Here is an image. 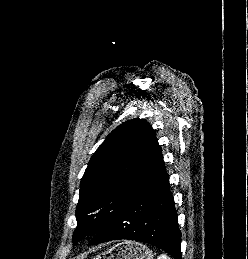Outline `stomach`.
<instances>
[{
  "mask_svg": "<svg viewBox=\"0 0 248 259\" xmlns=\"http://www.w3.org/2000/svg\"><path fill=\"white\" fill-rule=\"evenodd\" d=\"M94 259H153V253L141 243L124 241L97 255Z\"/></svg>",
  "mask_w": 248,
  "mask_h": 259,
  "instance_id": "obj_1",
  "label": "stomach"
}]
</instances>
